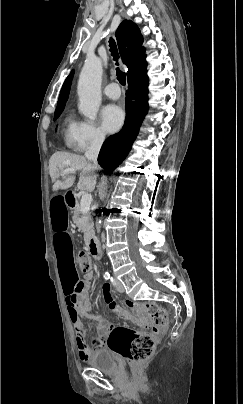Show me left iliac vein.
Masks as SVG:
<instances>
[{
  "instance_id": "4c4485c4",
  "label": "left iliac vein",
  "mask_w": 243,
  "mask_h": 404,
  "mask_svg": "<svg viewBox=\"0 0 243 404\" xmlns=\"http://www.w3.org/2000/svg\"><path fill=\"white\" fill-rule=\"evenodd\" d=\"M115 286H116V289L118 292H121V293L124 292V290H125L124 286L120 281L115 280Z\"/></svg>"
}]
</instances>
